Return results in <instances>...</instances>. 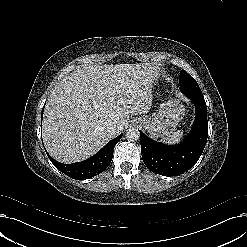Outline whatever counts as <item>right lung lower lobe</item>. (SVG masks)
Here are the masks:
<instances>
[{"mask_svg":"<svg viewBox=\"0 0 247 247\" xmlns=\"http://www.w3.org/2000/svg\"><path fill=\"white\" fill-rule=\"evenodd\" d=\"M43 116V110H42ZM122 134L109 141L98 153L82 162L73 164H63L54 160L48 155L54 166L67 176L84 180L102 173L110 164L116 143L121 139Z\"/></svg>","mask_w":247,"mask_h":247,"instance_id":"right-lung-lower-lobe-1","label":"right lung lower lobe"}]
</instances>
